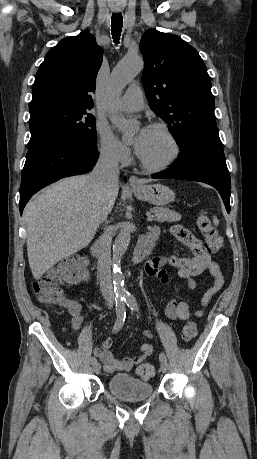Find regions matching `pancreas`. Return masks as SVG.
Instances as JSON below:
<instances>
[{
	"instance_id": "pancreas-1",
	"label": "pancreas",
	"mask_w": 257,
	"mask_h": 459,
	"mask_svg": "<svg viewBox=\"0 0 257 459\" xmlns=\"http://www.w3.org/2000/svg\"><path fill=\"white\" fill-rule=\"evenodd\" d=\"M151 212L154 213V218L158 222H177L181 219V215L178 212L164 207H153Z\"/></svg>"
}]
</instances>
